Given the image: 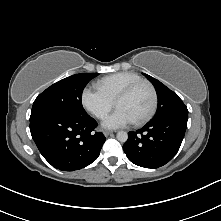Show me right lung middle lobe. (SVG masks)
<instances>
[{
    "mask_svg": "<svg viewBox=\"0 0 221 221\" xmlns=\"http://www.w3.org/2000/svg\"><path fill=\"white\" fill-rule=\"evenodd\" d=\"M98 73H80L62 79L35 99L30 118L46 113L85 114L81 97L86 84Z\"/></svg>",
    "mask_w": 221,
    "mask_h": 221,
    "instance_id": "right-lung-middle-lobe-1",
    "label": "right lung middle lobe"
}]
</instances>
